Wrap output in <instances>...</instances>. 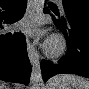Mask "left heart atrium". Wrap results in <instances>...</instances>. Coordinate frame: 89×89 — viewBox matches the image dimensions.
I'll use <instances>...</instances> for the list:
<instances>
[{"mask_svg": "<svg viewBox=\"0 0 89 89\" xmlns=\"http://www.w3.org/2000/svg\"><path fill=\"white\" fill-rule=\"evenodd\" d=\"M39 19L35 13H29L20 23V27L26 32L33 33L38 29Z\"/></svg>", "mask_w": 89, "mask_h": 89, "instance_id": "1", "label": "left heart atrium"}]
</instances>
